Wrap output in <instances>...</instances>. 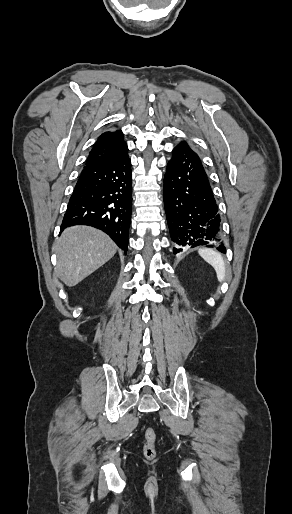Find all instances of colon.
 I'll return each instance as SVG.
<instances>
[{
    "label": "colon",
    "mask_w": 292,
    "mask_h": 514,
    "mask_svg": "<svg viewBox=\"0 0 292 514\" xmlns=\"http://www.w3.org/2000/svg\"><path fill=\"white\" fill-rule=\"evenodd\" d=\"M157 435L153 426H148L144 432V442L142 446L143 455L146 459H154L156 457Z\"/></svg>",
    "instance_id": "5ec220e1"
}]
</instances>
